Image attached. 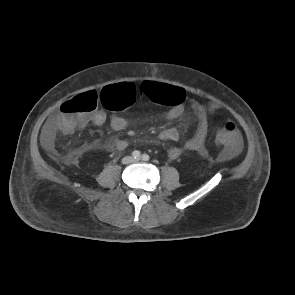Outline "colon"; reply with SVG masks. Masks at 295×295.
Listing matches in <instances>:
<instances>
[{
  "label": "colon",
  "mask_w": 295,
  "mask_h": 295,
  "mask_svg": "<svg viewBox=\"0 0 295 295\" xmlns=\"http://www.w3.org/2000/svg\"><path fill=\"white\" fill-rule=\"evenodd\" d=\"M138 95L172 105L178 100L179 91L172 86L152 82L143 83L138 88L131 83L121 82L105 87L100 95L86 92L61 104L57 116L58 129L63 134L72 133L96 109L99 101L108 110L122 111L130 107ZM238 139L237 128L232 122L222 123L216 133L217 143L228 148L234 147Z\"/></svg>",
  "instance_id": "1"
}]
</instances>
